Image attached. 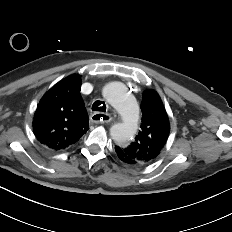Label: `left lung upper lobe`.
<instances>
[{"instance_id": "1", "label": "left lung upper lobe", "mask_w": 232, "mask_h": 232, "mask_svg": "<svg viewBox=\"0 0 232 232\" xmlns=\"http://www.w3.org/2000/svg\"><path fill=\"white\" fill-rule=\"evenodd\" d=\"M141 130L135 140L127 146H116L132 159L134 166H144L154 162L164 148L169 133L168 115L157 92L147 90L142 95Z\"/></svg>"}]
</instances>
